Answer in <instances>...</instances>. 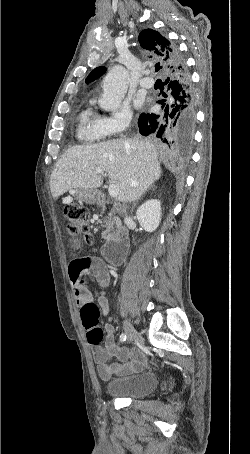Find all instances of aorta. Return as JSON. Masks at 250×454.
Here are the masks:
<instances>
[{"label":"aorta","mask_w":250,"mask_h":454,"mask_svg":"<svg viewBox=\"0 0 250 454\" xmlns=\"http://www.w3.org/2000/svg\"><path fill=\"white\" fill-rule=\"evenodd\" d=\"M128 71L121 65L114 66L103 80V94L99 105L107 111L119 108L127 92Z\"/></svg>","instance_id":"aorta-1"}]
</instances>
